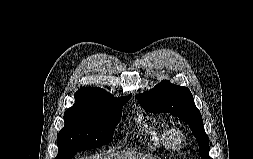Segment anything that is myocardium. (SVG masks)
<instances>
[{
	"mask_svg": "<svg viewBox=\"0 0 253 159\" xmlns=\"http://www.w3.org/2000/svg\"><path fill=\"white\" fill-rule=\"evenodd\" d=\"M184 136L179 128H171L168 130V147L174 151H180L183 147Z\"/></svg>",
	"mask_w": 253,
	"mask_h": 159,
	"instance_id": "obj_1",
	"label": "myocardium"
}]
</instances>
